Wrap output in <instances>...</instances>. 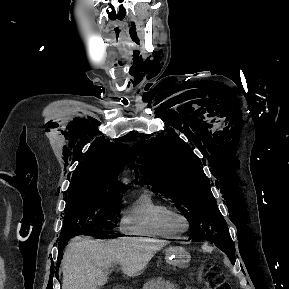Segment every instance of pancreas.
I'll return each instance as SVG.
<instances>
[{
  "label": "pancreas",
  "instance_id": "obj_1",
  "mask_svg": "<svg viewBox=\"0 0 289 289\" xmlns=\"http://www.w3.org/2000/svg\"><path fill=\"white\" fill-rule=\"evenodd\" d=\"M143 289H176L169 281L162 278L152 279L148 281Z\"/></svg>",
  "mask_w": 289,
  "mask_h": 289
}]
</instances>
